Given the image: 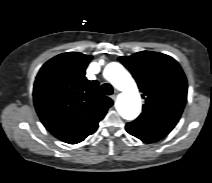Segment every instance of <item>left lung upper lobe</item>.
I'll use <instances>...</instances> for the list:
<instances>
[{"mask_svg":"<svg viewBox=\"0 0 212 183\" xmlns=\"http://www.w3.org/2000/svg\"><path fill=\"white\" fill-rule=\"evenodd\" d=\"M145 99L143 113L127 125L167 135L177 124L187 100V80L176 60L151 51L119 57Z\"/></svg>","mask_w":212,"mask_h":183,"instance_id":"1","label":"left lung upper lobe"}]
</instances>
